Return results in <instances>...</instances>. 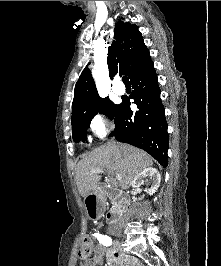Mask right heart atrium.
<instances>
[{"label":"right heart atrium","instance_id":"right-heart-atrium-1","mask_svg":"<svg viewBox=\"0 0 221 266\" xmlns=\"http://www.w3.org/2000/svg\"><path fill=\"white\" fill-rule=\"evenodd\" d=\"M89 127L94 136L102 139L112 130L113 124L107 113L100 112L91 118Z\"/></svg>","mask_w":221,"mask_h":266}]
</instances>
